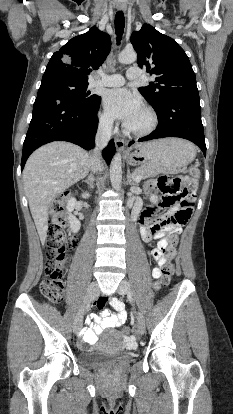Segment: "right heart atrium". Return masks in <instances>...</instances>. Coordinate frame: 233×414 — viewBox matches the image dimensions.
Returning <instances> with one entry per match:
<instances>
[{"label":"right heart atrium","instance_id":"right-heart-atrium-1","mask_svg":"<svg viewBox=\"0 0 233 414\" xmlns=\"http://www.w3.org/2000/svg\"><path fill=\"white\" fill-rule=\"evenodd\" d=\"M98 125L101 131L108 133L113 127L112 118L107 113L100 111L98 113Z\"/></svg>","mask_w":233,"mask_h":414}]
</instances>
